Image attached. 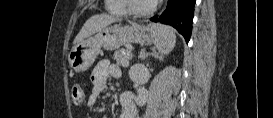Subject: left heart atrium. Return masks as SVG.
Instances as JSON below:
<instances>
[{
  "instance_id": "39dd6f15",
  "label": "left heart atrium",
  "mask_w": 273,
  "mask_h": 118,
  "mask_svg": "<svg viewBox=\"0 0 273 118\" xmlns=\"http://www.w3.org/2000/svg\"><path fill=\"white\" fill-rule=\"evenodd\" d=\"M151 4H155V3H157L158 1H160V0H148Z\"/></svg>"
}]
</instances>
